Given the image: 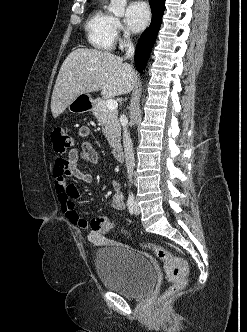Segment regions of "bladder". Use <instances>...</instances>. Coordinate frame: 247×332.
Segmentation results:
<instances>
[{"label": "bladder", "instance_id": "bladder-1", "mask_svg": "<svg viewBox=\"0 0 247 332\" xmlns=\"http://www.w3.org/2000/svg\"><path fill=\"white\" fill-rule=\"evenodd\" d=\"M95 268L105 288L126 298L143 297L156 282V270L150 257L125 244L99 249Z\"/></svg>", "mask_w": 247, "mask_h": 332}]
</instances>
